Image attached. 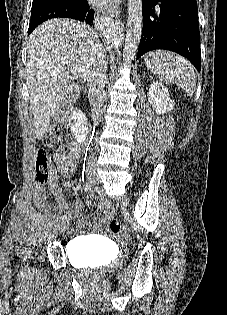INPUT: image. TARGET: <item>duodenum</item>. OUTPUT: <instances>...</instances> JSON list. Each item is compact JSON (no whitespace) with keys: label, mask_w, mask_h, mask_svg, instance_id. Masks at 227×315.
Wrapping results in <instances>:
<instances>
[{"label":"duodenum","mask_w":227,"mask_h":315,"mask_svg":"<svg viewBox=\"0 0 227 315\" xmlns=\"http://www.w3.org/2000/svg\"><path fill=\"white\" fill-rule=\"evenodd\" d=\"M71 122L76 141L80 145H85L89 130V121L86 114L81 110H74L71 113Z\"/></svg>","instance_id":"duodenum-1"}]
</instances>
